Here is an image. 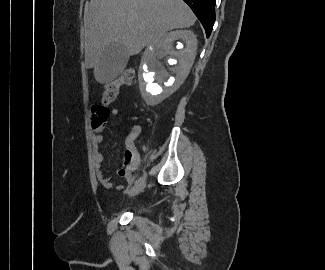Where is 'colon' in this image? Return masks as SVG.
I'll list each match as a JSON object with an SVG mask.
<instances>
[{
  "label": "colon",
  "mask_w": 325,
  "mask_h": 270,
  "mask_svg": "<svg viewBox=\"0 0 325 270\" xmlns=\"http://www.w3.org/2000/svg\"><path fill=\"white\" fill-rule=\"evenodd\" d=\"M134 77L135 69L129 67L117 78L106 82L103 89V103L106 105L113 103L119 96L120 88L122 86L130 85L133 82Z\"/></svg>",
  "instance_id": "5ec220e1"
}]
</instances>
